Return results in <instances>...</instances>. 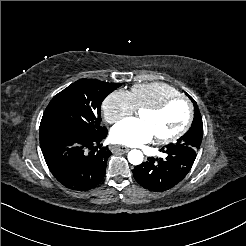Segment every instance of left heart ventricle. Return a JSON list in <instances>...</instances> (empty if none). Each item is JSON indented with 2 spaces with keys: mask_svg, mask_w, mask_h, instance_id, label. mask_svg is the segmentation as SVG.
I'll use <instances>...</instances> for the list:
<instances>
[{
  "mask_svg": "<svg viewBox=\"0 0 246 246\" xmlns=\"http://www.w3.org/2000/svg\"><path fill=\"white\" fill-rule=\"evenodd\" d=\"M186 113V105L182 101H176L161 113L141 111L138 117L151 128L155 137H166L182 127Z\"/></svg>",
  "mask_w": 246,
  "mask_h": 246,
  "instance_id": "b2bd125f",
  "label": "left heart ventricle"
}]
</instances>
